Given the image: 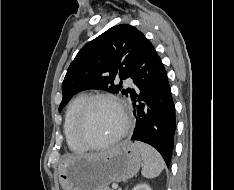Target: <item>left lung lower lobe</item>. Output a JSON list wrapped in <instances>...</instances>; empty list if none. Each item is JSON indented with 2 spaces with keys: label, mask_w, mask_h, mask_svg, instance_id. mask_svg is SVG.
Here are the masks:
<instances>
[{
  "label": "left lung lower lobe",
  "mask_w": 234,
  "mask_h": 190,
  "mask_svg": "<svg viewBox=\"0 0 234 190\" xmlns=\"http://www.w3.org/2000/svg\"><path fill=\"white\" fill-rule=\"evenodd\" d=\"M130 98L136 127L131 140L157 149L170 164L176 128L175 107L164 65L146 37L141 41Z\"/></svg>",
  "instance_id": "left-lung-lower-lobe-1"
}]
</instances>
